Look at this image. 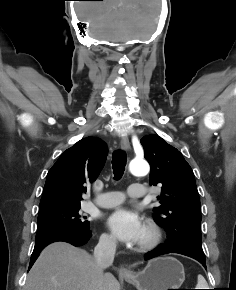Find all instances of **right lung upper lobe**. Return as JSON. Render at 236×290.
I'll return each mask as SVG.
<instances>
[{"label": "right lung upper lobe", "mask_w": 236, "mask_h": 290, "mask_svg": "<svg viewBox=\"0 0 236 290\" xmlns=\"http://www.w3.org/2000/svg\"><path fill=\"white\" fill-rule=\"evenodd\" d=\"M108 149L101 139L86 137L64 151L47 174L40 209L77 205L86 185L102 170Z\"/></svg>", "instance_id": "obj_1"}]
</instances>
